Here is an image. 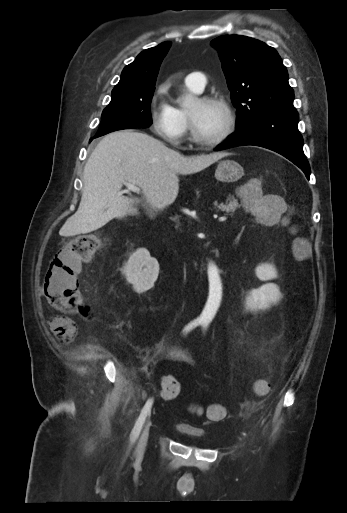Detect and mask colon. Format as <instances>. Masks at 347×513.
<instances>
[{
  "label": "colon",
  "mask_w": 347,
  "mask_h": 513,
  "mask_svg": "<svg viewBox=\"0 0 347 513\" xmlns=\"http://www.w3.org/2000/svg\"><path fill=\"white\" fill-rule=\"evenodd\" d=\"M242 203L245 208L256 212L257 222L273 226L277 223H287L291 218L290 208L276 195L263 196L260 186L249 183L240 187ZM101 247V240L95 234H85L69 241L55 253L44 278V292L48 302L57 310L70 313L78 311L86 316L85 322L92 324L93 305L84 301L78 288V275L83 264L88 262ZM295 256L305 260L310 255L306 240L296 239L294 244ZM269 383L262 379L254 386L255 393L263 396L269 390ZM181 393V384L173 376H165L162 380V395L166 400H174ZM196 414L200 408L193 407ZM206 416L212 421H220L226 416V408L221 404H212L206 409Z\"/></svg>",
  "instance_id": "obj_1"
}]
</instances>
